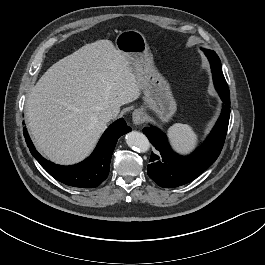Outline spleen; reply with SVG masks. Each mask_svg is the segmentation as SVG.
<instances>
[{"label":"spleen","mask_w":265,"mask_h":265,"mask_svg":"<svg viewBox=\"0 0 265 265\" xmlns=\"http://www.w3.org/2000/svg\"><path fill=\"white\" fill-rule=\"evenodd\" d=\"M167 134L173 149L180 154H188L197 146L198 135L188 124L176 123L168 129Z\"/></svg>","instance_id":"1"}]
</instances>
